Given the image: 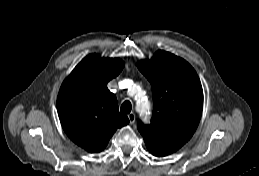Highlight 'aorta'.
I'll return each mask as SVG.
<instances>
[{
	"mask_svg": "<svg viewBox=\"0 0 259 176\" xmlns=\"http://www.w3.org/2000/svg\"><path fill=\"white\" fill-rule=\"evenodd\" d=\"M137 105L138 107L142 108L143 112L149 109V102L146 99H141Z\"/></svg>",
	"mask_w": 259,
	"mask_h": 176,
	"instance_id": "762f6f07",
	"label": "aorta"
}]
</instances>
